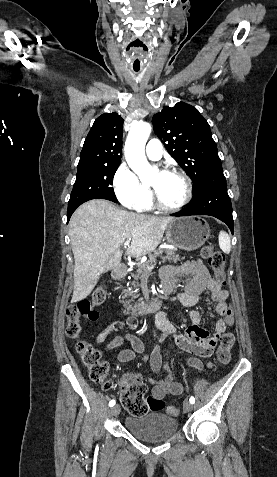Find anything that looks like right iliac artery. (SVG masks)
Returning a JSON list of instances; mask_svg holds the SVG:
<instances>
[{"label": "right iliac artery", "mask_w": 277, "mask_h": 477, "mask_svg": "<svg viewBox=\"0 0 277 477\" xmlns=\"http://www.w3.org/2000/svg\"><path fill=\"white\" fill-rule=\"evenodd\" d=\"M114 405H115V400H111V401L109 402V406L112 407V406H114Z\"/></svg>", "instance_id": "obj_1"}]
</instances>
